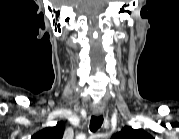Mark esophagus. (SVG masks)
<instances>
[{
    "label": "esophagus",
    "mask_w": 179,
    "mask_h": 139,
    "mask_svg": "<svg viewBox=\"0 0 179 139\" xmlns=\"http://www.w3.org/2000/svg\"><path fill=\"white\" fill-rule=\"evenodd\" d=\"M103 113V110L102 109H95L94 110V114L96 115V116H99V115H101Z\"/></svg>",
    "instance_id": "34e87169"
}]
</instances>
